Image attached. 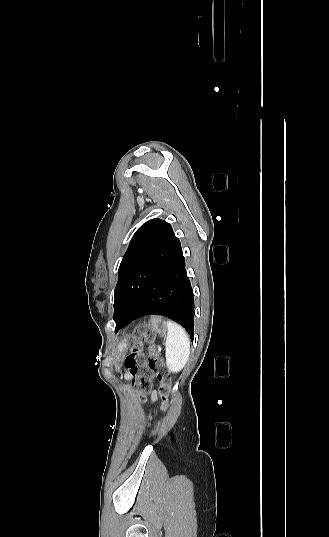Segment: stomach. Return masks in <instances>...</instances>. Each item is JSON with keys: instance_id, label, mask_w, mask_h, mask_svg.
<instances>
[{"instance_id": "stomach-1", "label": "stomach", "mask_w": 329, "mask_h": 537, "mask_svg": "<svg viewBox=\"0 0 329 537\" xmlns=\"http://www.w3.org/2000/svg\"><path fill=\"white\" fill-rule=\"evenodd\" d=\"M167 322L168 321H166L161 316H152L150 318L148 324H146L144 326V328H145L144 334L147 331L150 330L155 335H158L160 337L165 336L166 333L168 332ZM127 348H128V339L127 338L121 340L117 344V359L118 360L122 359V357L125 355V352L127 351Z\"/></svg>"}]
</instances>
